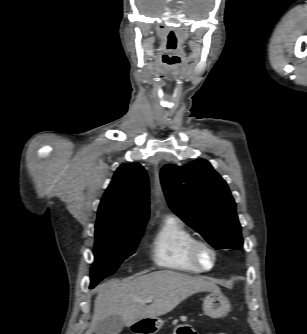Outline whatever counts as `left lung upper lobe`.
<instances>
[{"instance_id": "obj_1", "label": "left lung upper lobe", "mask_w": 307, "mask_h": 334, "mask_svg": "<svg viewBox=\"0 0 307 334\" xmlns=\"http://www.w3.org/2000/svg\"><path fill=\"white\" fill-rule=\"evenodd\" d=\"M162 187L170 208L216 249L243 244L235 201L222 177L205 159L163 166Z\"/></svg>"}]
</instances>
